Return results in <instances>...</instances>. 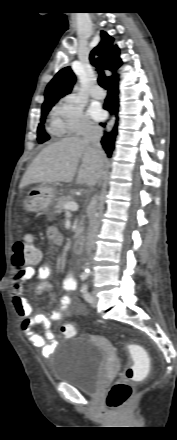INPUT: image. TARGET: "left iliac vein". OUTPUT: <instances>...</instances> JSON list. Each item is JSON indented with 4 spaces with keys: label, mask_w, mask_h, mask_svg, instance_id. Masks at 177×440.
I'll return each instance as SVG.
<instances>
[{
    "label": "left iliac vein",
    "mask_w": 177,
    "mask_h": 440,
    "mask_svg": "<svg viewBox=\"0 0 177 440\" xmlns=\"http://www.w3.org/2000/svg\"><path fill=\"white\" fill-rule=\"evenodd\" d=\"M92 298H93V300L91 301V305L93 307H96L98 305V298L95 293L92 294Z\"/></svg>",
    "instance_id": "1"
}]
</instances>
